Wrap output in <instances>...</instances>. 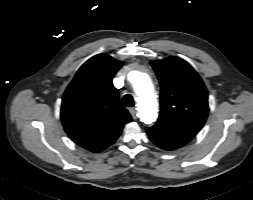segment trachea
Segmentation results:
<instances>
[{
	"label": "trachea",
	"instance_id": "obj_1",
	"mask_svg": "<svg viewBox=\"0 0 253 200\" xmlns=\"http://www.w3.org/2000/svg\"><path fill=\"white\" fill-rule=\"evenodd\" d=\"M122 104L126 107H133L134 106V99L130 94H126L122 98Z\"/></svg>",
	"mask_w": 253,
	"mask_h": 200
}]
</instances>
